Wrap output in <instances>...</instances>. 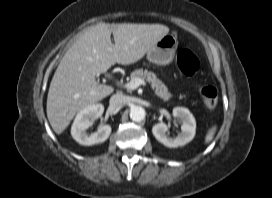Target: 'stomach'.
Segmentation results:
<instances>
[{
	"instance_id": "1",
	"label": "stomach",
	"mask_w": 272,
	"mask_h": 198,
	"mask_svg": "<svg viewBox=\"0 0 272 198\" xmlns=\"http://www.w3.org/2000/svg\"><path fill=\"white\" fill-rule=\"evenodd\" d=\"M177 47V38L174 35L167 34L147 52V59L160 66L168 65L172 62Z\"/></svg>"
}]
</instances>
